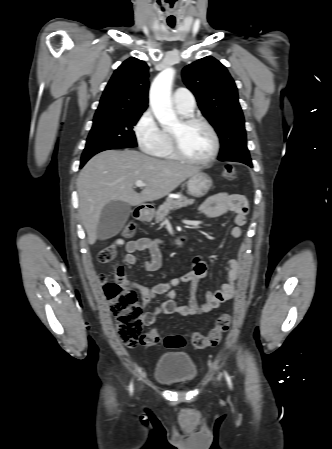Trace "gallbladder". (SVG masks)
<instances>
[{"label": "gallbladder", "mask_w": 332, "mask_h": 449, "mask_svg": "<svg viewBox=\"0 0 332 449\" xmlns=\"http://www.w3.org/2000/svg\"><path fill=\"white\" fill-rule=\"evenodd\" d=\"M131 207L123 201H111L101 211L96 229L97 238L106 240L116 236L124 227Z\"/></svg>", "instance_id": "1"}]
</instances>
